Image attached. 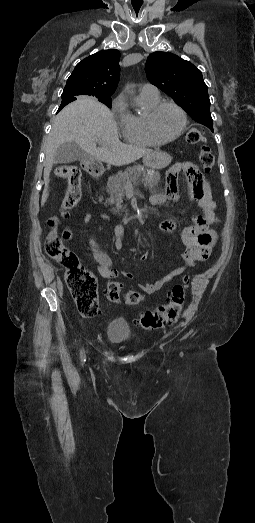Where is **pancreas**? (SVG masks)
<instances>
[{"label": "pancreas", "mask_w": 255, "mask_h": 523, "mask_svg": "<svg viewBox=\"0 0 255 523\" xmlns=\"http://www.w3.org/2000/svg\"><path fill=\"white\" fill-rule=\"evenodd\" d=\"M141 180L145 188H153L157 186L160 180L159 172H153L152 176L146 174L143 170V166H133V168H127L124 172H118L115 176H110L107 182V192L110 196L107 202L109 204H116V208H112L111 212L117 214V212H124L125 208H122L124 188L127 182H136Z\"/></svg>", "instance_id": "obj_1"}]
</instances>
